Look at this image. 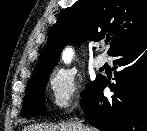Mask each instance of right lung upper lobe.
<instances>
[{"label": "right lung upper lobe", "instance_id": "right-lung-upper-lobe-1", "mask_svg": "<svg viewBox=\"0 0 147 131\" xmlns=\"http://www.w3.org/2000/svg\"><path fill=\"white\" fill-rule=\"evenodd\" d=\"M109 35V55L147 35V0H79L63 9L50 29L33 75L52 69L66 43L99 41Z\"/></svg>", "mask_w": 147, "mask_h": 131}]
</instances>
